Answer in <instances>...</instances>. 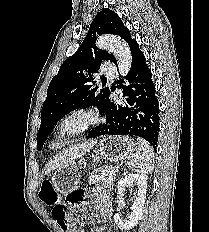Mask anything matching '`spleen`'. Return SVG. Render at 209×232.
<instances>
[{"label": "spleen", "mask_w": 209, "mask_h": 232, "mask_svg": "<svg viewBox=\"0 0 209 232\" xmlns=\"http://www.w3.org/2000/svg\"><path fill=\"white\" fill-rule=\"evenodd\" d=\"M129 165L135 171L149 174L154 168V152L149 143L143 139H138V147L134 154L128 157Z\"/></svg>", "instance_id": "1"}]
</instances>
